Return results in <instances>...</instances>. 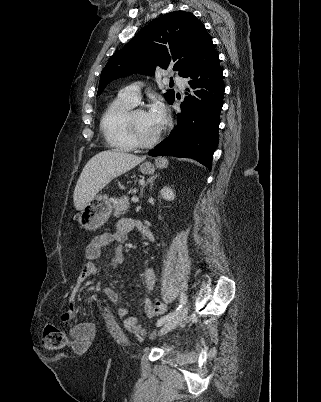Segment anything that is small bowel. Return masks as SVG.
Segmentation results:
<instances>
[{"label":"small bowel","instance_id":"obj_1","mask_svg":"<svg viewBox=\"0 0 321 402\" xmlns=\"http://www.w3.org/2000/svg\"><path fill=\"white\" fill-rule=\"evenodd\" d=\"M133 230H138L149 241H153V232L144 224L133 219H121L117 222L116 228L113 232H106L95 236L86 248L87 263L80 273L77 282L81 283L87 279L94 277L99 271V265L97 260L101 258L103 251L106 248L113 247L114 245H120L124 243L127 236ZM123 263V252L117 247L110 255V269L116 270ZM156 271L154 268L149 267L144 272V282L147 289L152 290L156 284ZM105 294L110 303L118 306L117 314L123 320V325L126 330L134 334H144V328L139 325L138 319L135 316L130 315V309L121 306V299L118 292L112 288L107 287ZM143 309L147 317H153L155 311L152 306V301L149 298H145L142 302ZM76 316V309L74 306H68L61 316L62 322L69 326V345L73 349V358H84L85 353L89 347V341L91 335L96 333V323L90 321L85 323H75L73 320Z\"/></svg>","mask_w":321,"mask_h":402}]
</instances>
